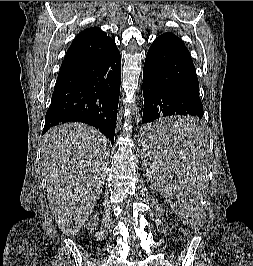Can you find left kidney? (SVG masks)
<instances>
[{"mask_svg": "<svg viewBox=\"0 0 253 266\" xmlns=\"http://www.w3.org/2000/svg\"><path fill=\"white\" fill-rule=\"evenodd\" d=\"M179 207H180V208H183V205H180ZM186 218H188V216H186Z\"/></svg>", "mask_w": 253, "mask_h": 266, "instance_id": "obj_1", "label": "left kidney"}]
</instances>
